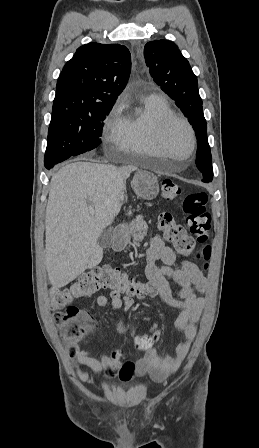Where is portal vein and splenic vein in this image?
I'll list each match as a JSON object with an SVG mask.
<instances>
[{"instance_id":"obj_1","label":"portal vein and splenic vein","mask_w":259,"mask_h":448,"mask_svg":"<svg viewBox=\"0 0 259 448\" xmlns=\"http://www.w3.org/2000/svg\"><path fill=\"white\" fill-rule=\"evenodd\" d=\"M90 214H91V216H94V214H95L94 210H91Z\"/></svg>"}]
</instances>
